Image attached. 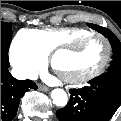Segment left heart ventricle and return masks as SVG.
Returning <instances> with one entry per match:
<instances>
[{
  "label": "left heart ventricle",
  "mask_w": 121,
  "mask_h": 121,
  "mask_svg": "<svg viewBox=\"0 0 121 121\" xmlns=\"http://www.w3.org/2000/svg\"><path fill=\"white\" fill-rule=\"evenodd\" d=\"M104 57L105 43L100 38H92L77 53H61L56 67L63 74L85 73L98 68Z\"/></svg>",
  "instance_id": "obj_1"
}]
</instances>
